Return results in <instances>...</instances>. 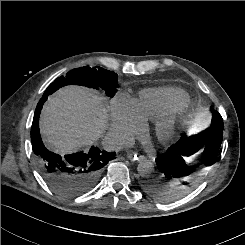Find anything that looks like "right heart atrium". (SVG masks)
Returning a JSON list of instances; mask_svg holds the SVG:
<instances>
[{
	"mask_svg": "<svg viewBox=\"0 0 245 245\" xmlns=\"http://www.w3.org/2000/svg\"><path fill=\"white\" fill-rule=\"evenodd\" d=\"M110 119L111 136L119 144L130 143L142 134L146 126L136 102L125 94H118L111 100Z\"/></svg>",
	"mask_w": 245,
	"mask_h": 245,
	"instance_id": "right-heart-atrium-1",
	"label": "right heart atrium"
}]
</instances>
